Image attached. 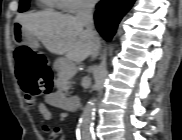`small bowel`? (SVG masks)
Segmentation results:
<instances>
[{
  "mask_svg": "<svg viewBox=\"0 0 182 140\" xmlns=\"http://www.w3.org/2000/svg\"><path fill=\"white\" fill-rule=\"evenodd\" d=\"M28 103L30 105L34 104ZM38 111L45 121H50L52 119V113L45 104H39ZM43 130L49 135V140H60L61 131L59 128H50L47 125H43Z\"/></svg>",
  "mask_w": 182,
  "mask_h": 140,
  "instance_id": "1",
  "label": "small bowel"
}]
</instances>
